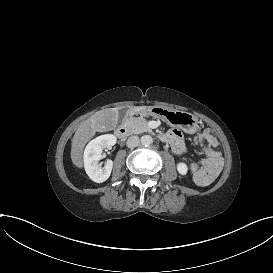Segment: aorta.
<instances>
[{"instance_id": "1", "label": "aorta", "mask_w": 273, "mask_h": 273, "mask_svg": "<svg viewBox=\"0 0 273 273\" xmlns=\"http://www.w3.org/2000/svg\"><path fill=\"white\" fill-rule=\"evenodd\" d=\"M152 143H153V138L150 135H143L141 137V144L143 146L147 147V146L151 145Z\"/></svg>"}]
</instances>
